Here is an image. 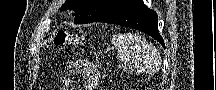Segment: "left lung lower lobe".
I'll list each match as a JSON object with an SVG mask.
<instances>
[{"label": "left lung lower lobe", "instance_id": "0a47b994", "mask_svg": "<svg viewBox=\"0 0 216 90\" xmlns=\"http://www.w3.org/2000/svg\"><path fill=\"white\" fill-rule=\"evenodd\" d=\"M94 22L111 23L143 31L165 47L158 31V16L156 12L147 8L142 0H129L125 5L106 13Z\"/></svg>", "mask_w": 216, "mask_h": 90}]
</instances>
